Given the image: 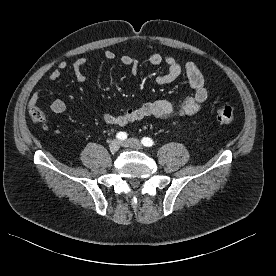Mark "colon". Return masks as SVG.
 <instances>
[{"mask_svg":"<svg viewBox=\"0 0 276 276\" xmlns=\"http://www.w3.org/2000/svg\"><path fill=\"white\" fill-rule=\"evenodd\" d=\"M216 118L219 122L224 124H230L234 120V109L222 102L216 104ZM29 115L33 122L41 123L45 120V111L38 105H33L29 109Z\"/></svg>","mask_w":276,"mask_h":276,"instance_id":"colon-1","label":"colon"}]
</instances>
